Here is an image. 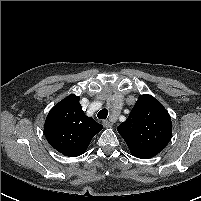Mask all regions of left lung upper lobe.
I'll list each match as a JSON object with an SVG mask.
<instances>
[{"label":"left lung upper lobe","mask_w":201,"mask_h":201,"mask_svg":"<svg viewBox=\"0 0 201 201\" xmlns=\"http://www.w3.org/2000/svg\"><path fill=\"white\" fill-rule=\"evenodd\" d=\"M132 155L148 159L168 144L172 122L167 110L151 95H140L125 122L117 127Z\"/></svg>","instance_id":"5c2ea615"}]
</instances>
